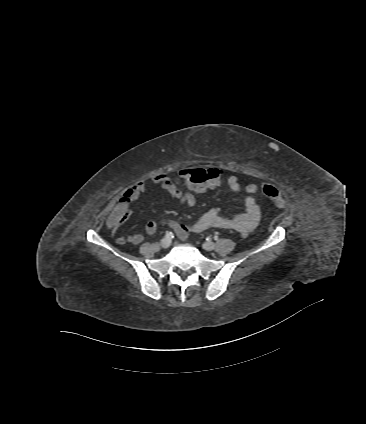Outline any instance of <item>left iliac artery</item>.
<instances>
[{
	"instance_id": "44dca946",
	"label": "left iliac artery",
	"mask_w": 366,
	"mask_h": 424,
	"mask_svg": "<svg viewBox=\"0 0 366 424\" xmlns=\"http://www.w3.org/2000/svg\"><path fill=\"white\" fill-rule=\"evenodd\" d=\"M219 237L217 235L214 236V240H218Z\"/></svg>"
}]
</instances>
